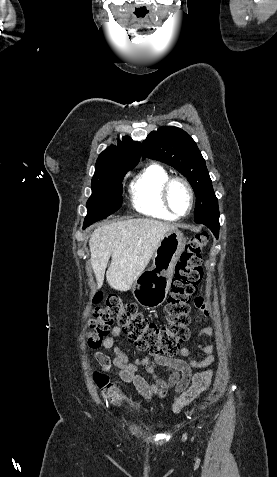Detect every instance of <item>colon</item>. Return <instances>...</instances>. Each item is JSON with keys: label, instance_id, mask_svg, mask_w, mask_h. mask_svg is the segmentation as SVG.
<instances>
[{"label": "colon", "instance_id": "obj_1", "mask_svg": "<svg viewBox=\"0 0 277 477\" xmlns=\"http://www.w3.org/2000/svg\"><path fill=\"white\" fill-rule=\"evenodd\" d=\"M206 243L207 236L204 233H197L189 239L175 268L165 308V324L158 325L149 320L138 311L135 304L123 303L117 296H108L101 306L102 295L98 293L93 297L95 307L89 323L88 344L94 348L100 346L112 324L117 323L138 349L152 355L171 357L177 354L180 344L190 337V303L203 277L202 252ZM103 369L107 367L103 366ZM211 377V371L195 374L192 385L174 402V412H179L205 392L210 386ZM93 380L107 401L114 405L125 401L117 384L105 372L95 371Z\"/></svg>", "mask_w": 277, "mask_h": 477}]
</instances>
